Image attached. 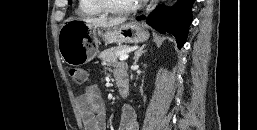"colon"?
<instances>
[{"instance_id": "1", "label": "colon", "mask_w": 257, "mask_h": 130, "mask_svg": "<svg viewBox=\"0 0 257 130\" xmlns=\"http://www.w3.org/2000/svg\"><path fill=\"white\" fill-rule=\"evenodd\" d=\"M68 74L73 79V81L77 84H82L87 79L86 71L79 67H69Z\"/></svg>"}]
</instances>
